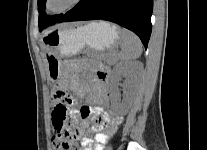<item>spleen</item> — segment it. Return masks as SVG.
Listing matches in <instances>:
<instances>
[{"label":"spleen","mask_w":207,"mask_h":150,"mask_svg":"<svg viewBox=\"0 0 207 150\" xmlns=\"http://www.w3.org/2000/svg\"><path fill=\"white\" fill-rule=\"evenodd\" d=\"M121 51L118 54L120 60L130 62L138 59L142 54V43L138 36L129 30L120 31Z\"/></svg>","instance_id":"3e777b00"}]
</instances>
